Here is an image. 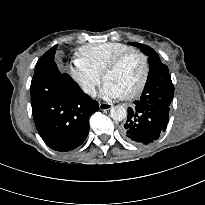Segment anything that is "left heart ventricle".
<instances>
[{"mask_svg":"<svg viewBox=\"0 0 205 205\" xmlns=\"http://www.w3.org/2000/svg\"><path fill=\"white\" fill-rule=\"evenodd\" d=\"M143 65L139 56L130 55L114 71L110 72L105 82L113 85L122 95L132 91L140 81Z\"/></svg>","mask_w":205,"mask_h":205,"instance_id":"left-heart-ventricle-1","label":"left heart ventricle"}]
</instances>
